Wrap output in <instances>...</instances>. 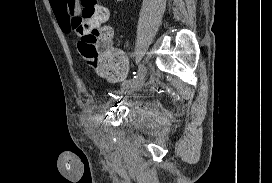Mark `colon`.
Here are the masks:
<instances>
[{"instance_id":"5ec220e1","label":"colon","mask_w":272,"mask_h":183,"mask_svg":"<svg viewBox=\"0 0 272 183\" xmlns=\"http://www.w3.org/2000/svg\"><path fill=\"white\" fill-rule=\"evenodd\" d=\"M76 0H68L67 26L80 37L79 51L87 65L96 70L112 67L118 56L107 46L109 33L101 27L108 19L106 7L98 0H80L81 11L76 14Z\"/></svg>"}]
</instances>
